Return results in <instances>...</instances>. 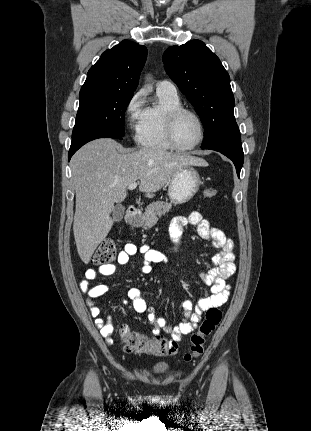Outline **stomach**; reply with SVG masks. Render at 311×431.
Masks as SVG:
<instances>
[{"instance_id": "stomach-1", "label": "stomach", "mask_w": 311, "mask_h": 431, "mask_svg": "<svg viewBox=\"0 0 311 431\" xmlns=\"http://www.w3.org/2000/svg\"><path fill=\"white\" fill-rule=\"evenodd\" d=\"M199 172L193 166H185L179 170L168 184L169 200L173 204H185L194 198L201 186ZM131 227H142L144 225L141 217H133L130 221Z\"/></svg>"}]
</instances>
